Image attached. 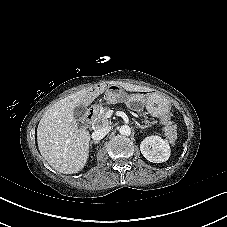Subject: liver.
I'll list each match as a JSON object with an SVG mask.
<instances>
[{
    "mask_svg": "<svg viewBox=\"0 0 227 227\" xmlns=\"http://www.w3.org/2000/svg\"><path fill=\"white\" fill-rule=\"evenodd\" d=\"M130 92L146 91L143 87L123 84ZM89 90L83 89L61 99L42 116L37 128L39 151L56 171L73 174L82 170L89 156L90 134L79 128L74 111L85 103Z\"/></svg>",
    "mask_w": 227,
    "mask_h": 227,
    "instance_id": "1",
    "label": "liver"
}]
</instances>
